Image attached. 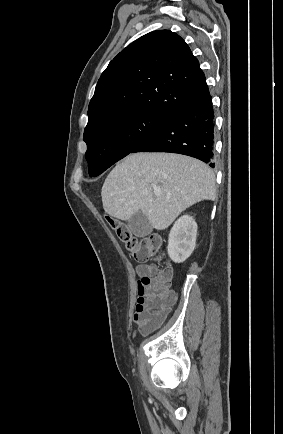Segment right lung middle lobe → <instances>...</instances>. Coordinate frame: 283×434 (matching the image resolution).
I'll return each mask as SVG.
<instances>
[{
  "label": "right lung middle lobe",
  "instance_id": "dd1d6c3e",
  "mask_svg": "<svg viewBox=\"0 0 283 434\" xmlns=\"http://www.w3.org/2000/svg\"><path fill=\"white\" fill-rule=\"evenodd\" d=\"M170 117L150 111L125 113L85 129L90 176H98L124 158Z\"/></svg>",
  "mask_w": 283,
  "mask_h": 434
}]
</instances>
